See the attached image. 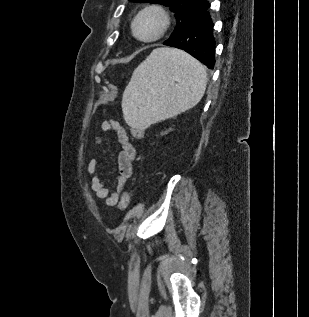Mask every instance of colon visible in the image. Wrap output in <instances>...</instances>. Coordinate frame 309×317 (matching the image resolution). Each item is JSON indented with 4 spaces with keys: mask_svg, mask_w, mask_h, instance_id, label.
Returning <instances> with one entry per match:
<instances>
[{
    "mask_svg": "<svg viewBox=\"0 0 309 317\" xmlns=\"http://www.w3.org/2000/svg\"><path fill=\"white\" fill-rule=\"evenodd\" d=\"M133 135L136 138H140L143 135V130L139 128H135L133 130ZM130 204V194L128 191H124L121 195L120 206L122 209H127Z\"/></svg>",
    "mask_w": 309,
    "mask_h": 317,
    "instance_id": "5ec220e1",
    "label": "colon"
}]
</instances>
